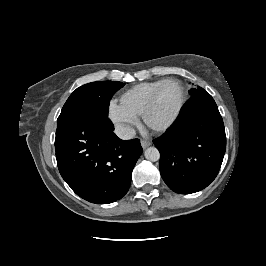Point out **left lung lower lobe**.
<instances>
[{
	"instance_id": "obj_1",
	"label": "left lung lower lobe",
	"mask_w": 266,
	"mask_h": 266,
	"mask_svg": "<svg viewBox=\"0 0 266 266\" xmlns=\"http://www.w3.org/2000/svg\"><path fill=\"white\" fill-rule=\"evenodd\" d=\"M160 152V173L176 193L207 187L217 176L226 150L224 123L212 96H193L172 128L154 140Z\"/></svg>"
}]
</instances>
